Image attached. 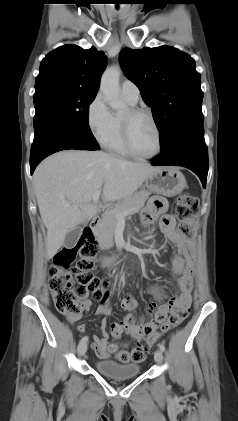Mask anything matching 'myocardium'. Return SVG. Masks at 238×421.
<instances>
[{"label":"myocardium","instance_id":"f54148a6","mask_svg":"<svg viewBox=\"0 0 238 421\" xmlns=\"http://www.w3.org/2000/svg\"><path fill=\"white\" fill-rule=\"evenodd\" d=\"M139 115L147 116L152 122V124L154 125L156 133H157L158 147H157V150L150 156H143L139 154L132 145L131 134H130V121L133 117L139 116ZM120 121H121V131H122L123 142L128 152L131 154V156L139 160L149 161L160 155L163 149L162 131L156 118L150 111L143 108L131 107L128 110V116L126 117L121 116Z\"/></svg>","mask_w":238,"mask_h":421}]
</instances>
